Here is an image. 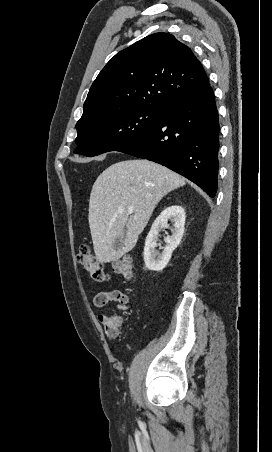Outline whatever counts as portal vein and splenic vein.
Wrapping results in <instances>:
<instances>
[{"label": "portal vein and splenic vein", "mask_w": 272, "mask_h": 452, "mask_svg": "<svg viewBox=\"0 0 272 452\" xmlns=\"http://www.w3.org/2000/svg\"><path fill=\"white\" fill-rule=\"evenodd\" d=\"M133 211H134V208H133V207H129V208H128V212H129V213H132Z\"/></svg>", "instance_id": "1"}]
</instances>
